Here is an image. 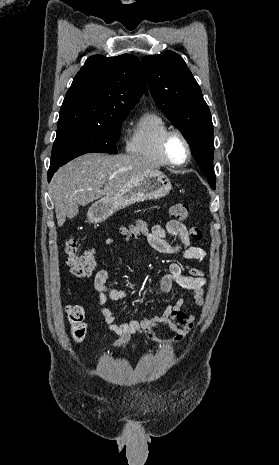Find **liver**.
<instances>
[{
	"mask_svg": "<svg viewBox=\"0 0 279 465\" xmlns=\"http://www.w3.org/2000/svg\"><path fill=\"white\" fill-rule=\"evenodd\" d=\"M149 171H154L153 165L138 155L89 153L69 162L54 174L50 183L58 226L69 217L67 204L85 206L115 193L131 178Z\"/></svg>",
	"mask_w": 279,
	"mask_h": 465,
	"instance_id": "6515ba94",
	"label": "liver"
}]
</instances>
